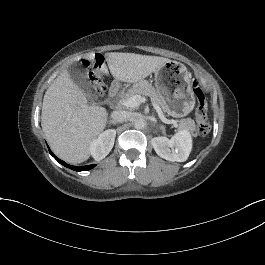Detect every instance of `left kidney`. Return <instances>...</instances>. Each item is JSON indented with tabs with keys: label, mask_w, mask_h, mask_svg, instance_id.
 Here are the masks:
<instances>
[{
	"label": "left kidney",
	"mask_w": 265,
	"mask_h": 265,
	"mask_svg": "<svg viewBox=\"0 0 265 265\" xmlns=\"http://www.w3.org/2000/svg\"><path fill=\"white\" fill-rule=\"evenodd\" d=\"M151 143L161 158L172 162L186 161L192 149V137L188 129H179L171 139L154 137Z\"/></svg>",
	"instance_id": "obj_1"
}]
</instances>
